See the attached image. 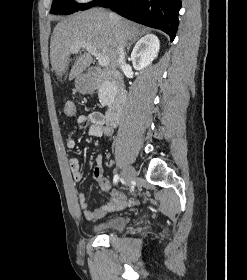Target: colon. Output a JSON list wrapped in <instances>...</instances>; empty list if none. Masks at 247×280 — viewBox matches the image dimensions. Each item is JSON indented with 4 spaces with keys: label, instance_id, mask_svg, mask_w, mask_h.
<instances>
[{
    "label": "colon",
    "instance_id": "1",
    "mask_svg": "<svg viewBox=\"0 0 247 280\" xmlns=\"http://www.w3.org/2000/svg\"><path fill=\"white\" fill-rule=\"evenodd\" d=\"M64 113L68 117H73L76 115V105L72 101H67L64 106Z\"/></svg>",
    "mask_w": 247,
    "mask_h": 280
}]
</instances>
